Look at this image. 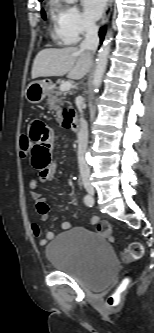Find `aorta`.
<instances>
[{"label":"aorta","instance_id":"aorta-1","mask_svg":"<svg viewBox=\"0 0 154 333\" xmlns=\"http://www.w3.org/2000/svg\"><path fill=\"white\" fill-rule=\"evenodd\" d=\"M64 1L68 4H73L77 0H64ZM112 40H113V35L112 32L109 31L106 34L105 40L99 50L98 57L96 60V67L93 75V87L95 92L98 91V88L101 85L102 78L107 67L108 56L110 53Z\"/></svg>","mask_w":154,"mask_h":333}]
</instances>
